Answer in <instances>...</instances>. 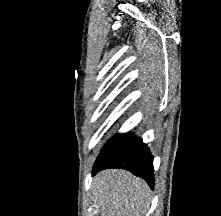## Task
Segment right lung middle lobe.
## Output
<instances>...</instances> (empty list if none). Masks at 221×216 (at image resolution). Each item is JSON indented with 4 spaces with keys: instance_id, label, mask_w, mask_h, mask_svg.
<instances>
[{
    "instance_id": "dd1d6c3e",
    "label": "right lung middle lobe",
    "mask_w": 221,
    "mask_h": 216,
    "mask_svg": "<svg viewBox=\"0 0 221 216\" xmlns=\"http://www.w3.org/2000/svg\"><path fill=\"white\" fill-rule=\"evenodd\" d=\"M139 138L134 137L132 134H119L114 136L102 149L100 155L97 157L94 165L104 164L111 158L126 150L135 144Z\"/></svg>"
}]
</instances>
